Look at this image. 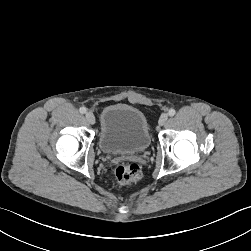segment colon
I'll return each instance as SVG.
<instances>
[{
  "mask_svg": "<svg viewBox=\"0 0 251 251\" xmlns=\"http://www.w3.org/2000/svg\"><path fill=\"white\" fill-rule=\"evenodd\" d=\"M115 177L121 184L135 183L141 179L142 170L136 163L120 164L115 169Z\"/></svg>",
  "mask_w": 251,
  "mask_h": 251,
  "instance_id": "obj_1",
  "label": "colon"
}]
</instances>
